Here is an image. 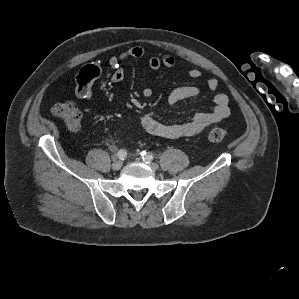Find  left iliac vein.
<instances>
[{"label": "left iliac vein", "mask_w": 299, "mask_h": 299, "mask_svg": "<svg viewBox=\"0 0 299 299\" xmlns=\"http://www.w3.org/2000/svg\"><path fill=\"white\" fill-rule=\"evenodd\" d=\"M149 163H150L149 165H150L152 168H154V169H158V168H159L158 164L153 163V162H149Z\"/></svg>", "instance_id": "4c4485c4"}]
</instances>
